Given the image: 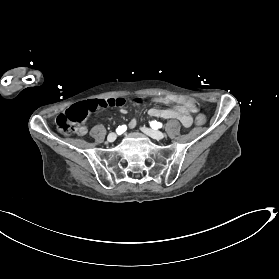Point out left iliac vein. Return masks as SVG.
I'll return each mask as SVG.
<instances>
[{
	"label": "left iliac vein",
	"mask_w": 279,
	"mask_h": 279,
	"mask_svg": "<svg viewBox=\"0 0 279 279\" xmlns=\"http://www.w3.org/2000/svg\"><path fill=\"white\" fill-rule=\"evenodd\" d=\"M144 133H146L147 135H149L150 137H152L153 139L156 140H161L164 138V133L157 131V130H153V129H149L146 127H141L140 128Z\"/></svg>",
	"instance_id": "obj_1"
}]
</instances>
